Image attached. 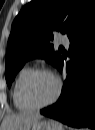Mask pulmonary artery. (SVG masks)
<instances>
[{
	"label": "pulmonary artery",
	"mask_w": 95,
	"mask_h": 130,
	"mask_svg": "<svg viewBox=\"0 0 95 130\" xmlns=\"http://www.w3.org/2000/svg\"><path fill=\"white\" fill-rule=\"evenodd\" d=\"M57 41H58L59 43H61V44H64V45H68V43H69V40H68L67 36L62 35V34H60V35L57 37Z\"/></svg>",
	"instance_id": "1"
}]
</instances>
